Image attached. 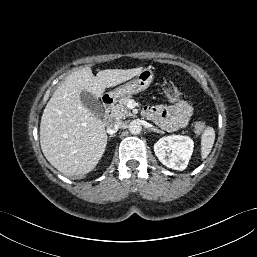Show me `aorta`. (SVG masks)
Segmentation results:
<instances>
[{
	"mask_svg": "<svg viewBox=\"0 0 257 257\" xmlns=\"http://www.w3.org/2000/svg\"><path fill=\"white\" fill-rule=\"evenodd\" d=\"M141 130H142V126H141V123L138 120H132L129 123V131L132 134H139L141 132Z\"/></svg>",
	"mask_w": 257,
	"mask_h": 257,
	"instance_id": "1",
	"label": "aorta"
}]
</instances>
